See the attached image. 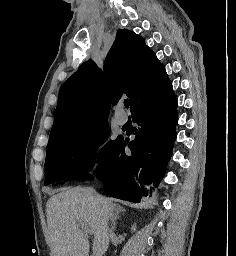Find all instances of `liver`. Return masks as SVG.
<instances>
[{"instance_id":"6515ba94","label":"liver","mask_w":236,"mask_h":256,"mask_svg":"<svg viewBox=\"0 0 236 256\" xmlns=\"http://www.w3.org/2000/svg\"><path fill=\"white\" fill-rule=\"evenodd\" d=\"M46 204L49 246L52 256H89L90 244L76 222L82 220L94 234L92 256H105L109 248L108 222L121 210L109 198L90 188H60Z\"/></svg>"}]
</instances>
